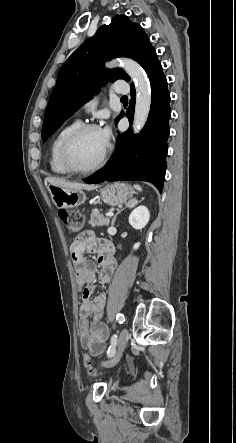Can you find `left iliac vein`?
Here are the masks:
<instances>
[{
  "label": "left iliac vein",
  "instance_id": "1",
  "mask_svg": "<svg viewBox=\"0 0 236 443\" xmlns=\"http://www.w3.org/2000/svg\"><path fill=\"white\" fill-rule=\"evenodd\" d=\"M128 339H129L128 330L123 329L119 335V338H118V349H117L116 355L111 360L105 362L104 366L113 367L114 365H116L118 363V361L120 360V357L122 356V353L126 347Z\"/></svg>",
  "mask_w": 236,
  "mask_h": 443
}]
</instances>
